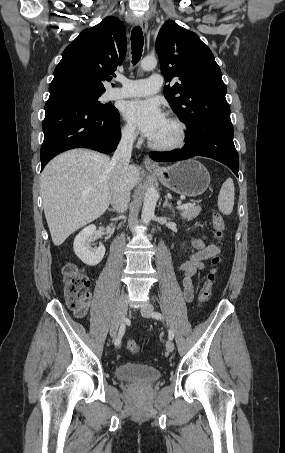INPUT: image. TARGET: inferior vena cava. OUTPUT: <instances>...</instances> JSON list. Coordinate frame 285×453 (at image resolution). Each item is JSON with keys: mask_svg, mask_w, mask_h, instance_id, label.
I'll return each instance as SVG.
<instances>
[{"mask_svg": "<svg viewBox=\"0 0 285 453\" xmlns=\"http://www.w3.org/2000/svg\"><path fill=\"white\" fill-rule=\"evenodd\" d=\"M135 138L134 129H127L122 134L121 140L110 162L113 168L110 203L113 209L119 213L127 210L130 201L131 186L128 180V170Z\"/></svg>", "mask_w": 285, "mask_h": 453, "instance_id": "1", "label": "inferior vena cava"}]
</instances>
